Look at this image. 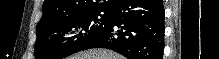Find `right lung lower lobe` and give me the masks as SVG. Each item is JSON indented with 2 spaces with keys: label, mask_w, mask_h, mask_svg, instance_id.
<instances>
[{
  "label": "right lung lower lobe",
  "mask_w": 219,
  "mask_h": 59,
  "mask_svg": "<svg viewBox=\"0 0 219 59\" xmlns=\"http://www.w3.org/2000/svg\"><path fill=\"white\" fill-rule=\"evenodd\" d=\"M164 15L162 0H116L108 28L82 50L107 48L128 59H162Z\"/></svg>",
  "instance_id": "right-lung-lower-lobe-1"
}]
</instances>
